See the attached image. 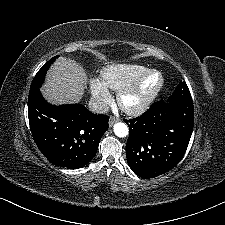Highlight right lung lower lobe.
<instances>
[{
  "label": "right lung lower lobe",
  "instance_id": "1",
  "mask_svg": "<svg viewBox=\"0 0 225 225\" xmlns=\"http://www.w3.org/2000/svg\"><path fill=\"white\" fill-rule=\"evenodd\" d=\"M30 130L42 154L54 165L78 169L95 156L108 129V116L80 104L53 106L39 88L29 92Z\"/></svg>",
  "mask_w": 225,
  "mask_h": 225
}]
</instances>
